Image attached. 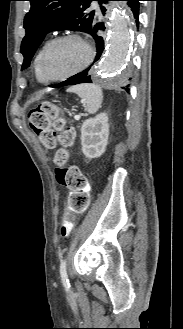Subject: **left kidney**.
Listing matches in <instances>:
<instances>
[{
    "mask_svg": "<svg viewBox=\"0 0 183 329\" xmlns=\"http://www.w3.org/2000/svg\"><path fill=\"white\" fill-rule=\"evenodd\" d=\"M108 137L109 124L106 113L87 119L81 127L83 154L89 159L100 157L105 152Z\"/></svg>",
    "mask_w": 183,
    "mask_h": 329,
    "instance_id": "left-kidney-1",
    "label": "left kidney"
}]
</instances>
